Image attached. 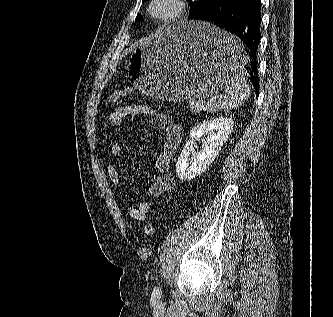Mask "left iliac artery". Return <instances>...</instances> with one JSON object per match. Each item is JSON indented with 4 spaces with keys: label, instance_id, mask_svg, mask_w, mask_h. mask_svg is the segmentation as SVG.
<instances>
[{
    "label": "left iliac artery",
    "instance_id": "obj_1",
    "mask_svg": "<svg viewBox=\"0 0 333 317\" xmlns=\"http://www.w3.org/2000/svg\"><path fill=\"white\" fill-rule=\"evenodd\" d=\"M154 294H156V295H160L161 294V291H160V289H159V287L158 286H156L155 288H154Z\"/></svg>",
    "mask_w": 333,
    "mask_h": 317
}]
</instances>
